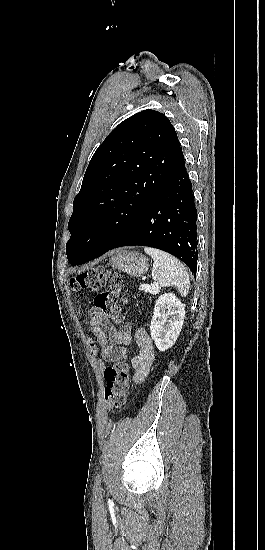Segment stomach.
<instances>
[{"label":"stomach","mask_w":265,"mask_h":550,"mask_svg":"<svg viewBox=\"0 0 265 550\" xmlns=\"http://www.w3.org/2000/svg\"><path fill=\"white\" fill-rule=\"evenodd\" d=\"M113 268L122 270L133 277H141L148 271V259L141 253L121 250L111 259Z\"/></svg>","instance_id":"stomach-1"}]
</instances>
